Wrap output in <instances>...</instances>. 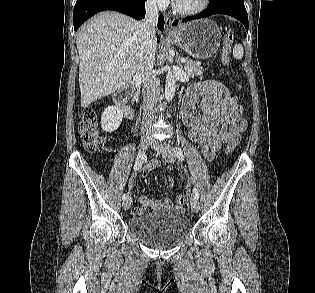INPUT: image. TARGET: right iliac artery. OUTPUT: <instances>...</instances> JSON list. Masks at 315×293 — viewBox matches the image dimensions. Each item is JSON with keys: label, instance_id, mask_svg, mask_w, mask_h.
Here are the masks:
<instances>
[{"label": "right iliac artery", "instance_id": "right-iliac-artery-1", "mask_svg": "<svg viewBox=\"0 0 315 293\" xmlns=\"http://www.w3.org/2000/svg\"><path fill=\"white\" fill-rule=\"evenodd\" d=\"M145 157H146L145 152L139 151V153L137 155V160H136L135 165H134V171L135 172L141 169ZM127 198H128L127 194H123L122 200L125 201Z\"/></svg>", "mask_w": 315, "mask_h": 293}]
</instances>
